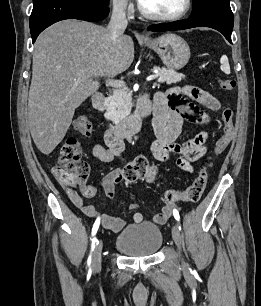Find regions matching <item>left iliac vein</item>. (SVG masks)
<instances>
[{"label": "left iliac vein", "instance_id": "obj_1", "mask_svg": "<svg viewBox=\"0 0 261 306\" xmlns=\"http://www.w3.org/2000/svg\"><path fill=\"white\" fill-rule=\"evenodd\" d=\"M172 237H173V240H174L175 244L180 249L181 248V242H182V235H181L180 227L177 223L172 228Z\"/></svg>", "mask_w": 261, "mask_h": 306}]
</instances>
